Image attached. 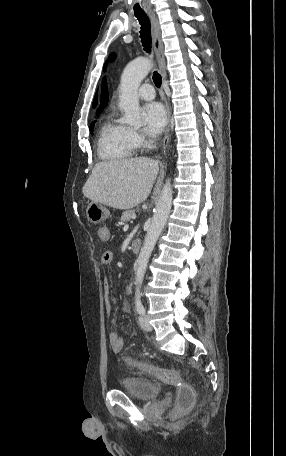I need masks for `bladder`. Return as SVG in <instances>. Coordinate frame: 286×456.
<instances>
[{
	"label": "bladder",
	"mask_w": 286,
	"mask_h": 456,
	"mask_svg": "<svg viewBox=\"0 0 286 456\" xmlns=\"http://www.w3.org/2000/svg\"><path fill=\"white\" fill-rule=\"evenodd\" d=\"M121 389L140 401H152L161 393V387L158 384L140 376L124 377L121 380Z\"/></svg>",
	"instance_id": "1"
}]
</instances>
